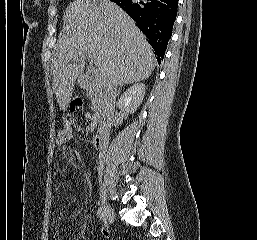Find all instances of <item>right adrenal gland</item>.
Returning <instances> with one entry per match:
<instances>
[{"instance_id":"obj_1","label":"right adrenal gland","mask_w":257,"mask_h":240,"mask_svg":"<svg viewBox=\"0 0 257 240\" xmlns=\"http://www.w3.org/2000/svg\"><path fill=\"white\" fill-rule=\"evenodd\" d=\"M122 86H123V85H121V86L119 87L117 96L119 95V93H120V91H121V89H122Z\"/></svg>"}]
</instances>
